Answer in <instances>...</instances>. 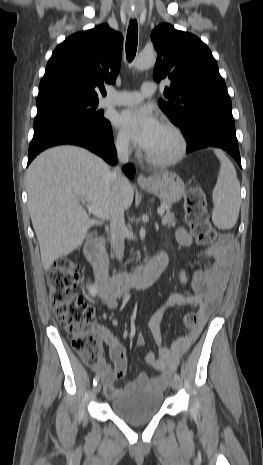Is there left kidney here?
<instances>
[{
    "label": "left kidney",
    "mask_w": 263,
    "mask_h": 465,
    "mask_svg": "<svg viewBox=\"0 0 263 465\" xmlns=\"http://www.w3.org/2000/svg\"><path fill=\"white\" fill-rule=\"evenodd\" d=\"M180 280H181L182 283H186V281H187V278H186V275H185L184 271H181V273H180Z\"/></svg>",
    "instance_id": "5707ae66"
}]
</instances>
